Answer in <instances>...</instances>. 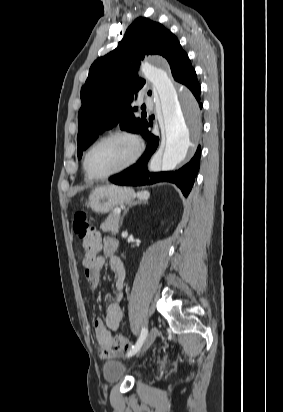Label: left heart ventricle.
Returning <instances> with one entry per match:
<instances>
[{"instance_id": "left-heart-ventricle-1", "label": "left heart ventricle", "mask_w": 283, "mask_h": 412, "mask_svg": "<svg viewBox=\"0 0 283 412\" xmlns=\"http://www.w3.org/2000/svg\"><path fill=\"white\" fill-rule=\"evenodd\" d=\"M133 154L134 144L131 140L114 137L103 141L92 150L88 166L92 173L103 175L127 163Z\"/></svg>"}]
</instances>
